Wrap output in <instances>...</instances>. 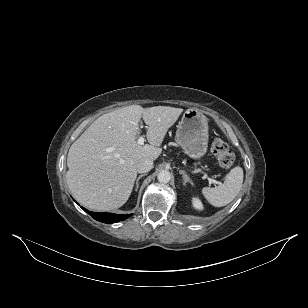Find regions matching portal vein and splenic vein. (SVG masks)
<instances>
[{"mask_svg": "<svg viewBox=\"0 0 308 308\" xmlns=\"http://www.w3.org/2000/svg\"><path fill=\"white\" fill-rule=\"evenodd\" d=\"M144 137L143 136H140L139 138H138V140H137V143L139 144V145H143L144 144ZM201 171V170H200ZM205 178H207L208 179V181H209V183L211 184V183H216V184H220V182H218V181H216V180H214V179H211V178H209L206 174H205Z\"/></svg>", "mask_w": 308, "mask_h": 308, "instance_id": "18ae733b", "label": "portal vein and splenic vein"}]
</instances>
